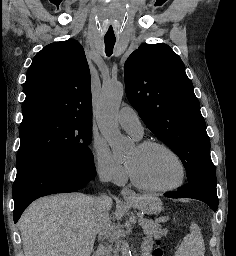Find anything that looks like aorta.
I'll use <instances>...</instances> for the list:
<instances>
[{
    "instance_id": "762f6f07",
    "label": "aorta",
    "mask_w": 236,
    "mask_h": 256,
    "mask_svg": "<svg viewBox=\"0 0 236 256\" xmlns=\"http://www.w3.org/2000/svg\"><path fill=\"white\" fill-rule=\"evenodd\" d=\"M124 94V85L120 81L107 82L102 86L97 106L99 129L111 147L117 151H123L125 142L120 134L117 122L120 103ZM121 236L125 237L122 231ZM122 256H131V250L126 240H121Z\"/></svg>"
}]
</instances>
